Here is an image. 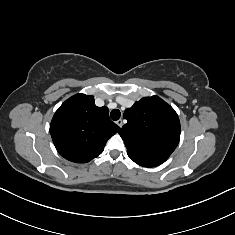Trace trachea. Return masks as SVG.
<instances>
[{
    "mask_svg": "<svg viewBox=\"0 0 235 235\" xmlns=\"http://www.w3.org/2000/svg\"><path fill=\"white\" fill-rule=\"evenodd\" d=\"M120 116H121V112L118 109H113L110 113V117L114 121L118 120Z\"/></svg>",
    "mask_w": 235,
    "mask_h": 235,
    "instance_id": "1",
    "label": "trachea"
}]
</instances>
